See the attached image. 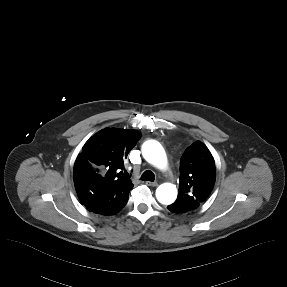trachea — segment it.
Segmentation results:
<instances>
[{"instance_id": "3493384b", "label": "trachea", "mask_w": 287, "mask_h": 287, "mask_svg": "<svg viewBox=\"0 0 287 287\" xmlns=\"http://www.w3.org/2000/svg\"><path fill=\"white\" fill-rule=\"evenodd\" d=\"M141 180L154 182V180H155V175H154V173H153L152 171L147 170V171H145V172L142 174Z\"/></svg>"}]
</instances>
